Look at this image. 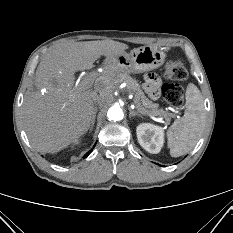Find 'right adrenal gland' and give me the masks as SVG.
<instances>
[{
    "instance_id": "right-adrenal-gland-1",
    "label": "right adrenal gland",
    "mask_w": 233,
    "mask_h": 233,
    "mask_svg": "<svg viewBox=\"0 0 233 233\" xmlns=\"http://www.w3.org/2000/svg\"><path fill=\"white\" fill-rule=\"evenodd\" d=\"M94 124H95V115H94L93 118H92L91 126H90V128H89V133L93 130Z\"/></svg>"
}]
</instances>
